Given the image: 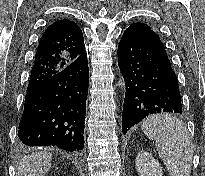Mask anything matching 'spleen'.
Instances as JSON below:
<instances>
[{
  "instance_id": "spleen-1",
  "label": "spleen",
  "mask_w": 205,
  "mask_h": 176,
  "mask_svg": "<svg viewBox=\"0 0 205 176\" xmlns=\"http://www.w3.org/2000/svg\"><path fill=\"white\" fill-rule=\"evenodd\" d=\"M141 128L146 136L156 142L158 154L170 176H190L193 146L183 121L161 113L145 119Z\"/></svg>"
}]
</instances>
